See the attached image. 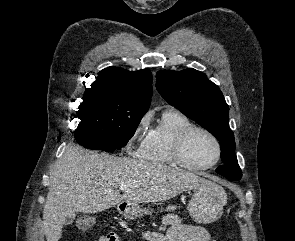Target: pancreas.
<instances>
[{"instance_id": "pancreas-1", "label": "pancreas", "mask_w": 295, "mask_h": 241, "mask_svg": "<svg viewBox=\"0 0 295 241\" xmlns=\"http://www.w3.org/2000/svg\"><path fill=\"white\" fill-rule=\"evenodd\" d=\"M176 209V206L175 205H170L167 207V210L168 211H174ZM162 211V210H161ZM149 214V213H148Z\"/></svg>"}]
</instances>
